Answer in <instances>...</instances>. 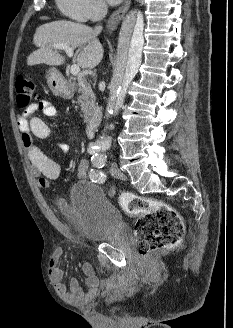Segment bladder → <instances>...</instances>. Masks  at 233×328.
Listing matches in <instances>:
<instances>
[{
  "label": "bladder",
  "mask_w": 233,
  "mask_h": 328,
  "mask_svg": "<svg viewBox=\"0 0 233 328\" xmlns=\"http://www.w3.org/2000/svg\"><path fill=\"white\" fill-rule=\"evenodd\" d=\"M71 225L87 240L103 241L122 227V217L104 191L90 181H78L68 198L59 203Z\"/></svg>",
  "instance_id": "1"
}]
</instances>
